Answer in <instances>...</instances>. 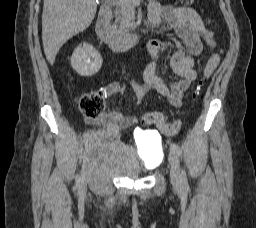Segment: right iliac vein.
<instances>
[{"label":"right iliac vein","instance_id":"obj_1","mask_svg":"<svg viewBox=\"0 0 256 228\" xmlns=\"http://www.w3.org/2000/svg\"><path fill=\"white\" fill-rule=\"evenodd\" d=\"M83 147H84V151H85V157H88V155L90 154V151H91L90 140H87V143H84ZM80 180H81V186H84L90 180V173L88 170H84L81 173Z\"/></svg>","mask_w":256,"mask_h":228}]
</instances>
